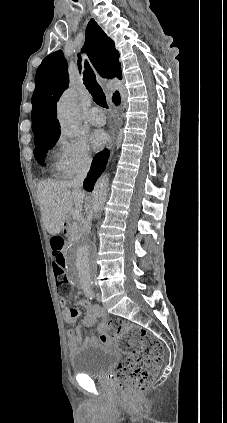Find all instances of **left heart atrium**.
<instances>
[{
	"label": "left heart atrium",
	"mask_w": 227,
	"mask_h": 423,
	"mask_svg": "<svg viewBox=\"0 0 227 423\" xmlns=\"http://www.w3.org/2000/svg\"><path fill=\"white\" fill-rule=\"evenodd\" d=\"M90 142L95 151L101 150L108 142V135L103 130H95L90 136Z\"/></svg>",
	"instance_id": "1"
}]
</instances>
